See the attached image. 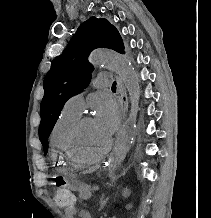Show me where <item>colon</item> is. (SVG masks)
Here are the masks:
<instances>
[{
	"mask_svg": "<svg viewBox=\"0 0 211 218\" xmlns=\"http://www.w3.org/2000/svg\"><path fill=\"white\" fill-rule=\"evenodd\" d=\"M55 202L58 206L68 208L75 205V196L65 185H59L54 194Z\"/></svg>",
	"mask_w": 211,
	"mask_h": 218,
	"instance_id": "obj_1",
	"label": "colon"
}]
</instances>
